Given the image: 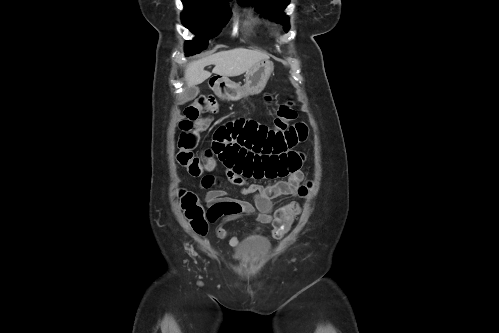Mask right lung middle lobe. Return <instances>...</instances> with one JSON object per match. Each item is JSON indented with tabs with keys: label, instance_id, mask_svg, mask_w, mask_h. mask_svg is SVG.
<instances>
[{
	"label": "right lung middle lobe",
	"instance_id": "obj_1",
	"mask_svg": "<svg viewBox=\"0 0 499 333\" xmlns=\"http://www.w3.org/2000/svg\"><path fill=\"white\" fill-rule=\"evenodd\" d=\"M229 1L182 0L185 6L182 23L197 35L194 40L187 41L186 56L201 52L206 48L208 39L221 32L232 14Z\"/></svg>",
	"mask_w": 499,
	"mask_h": 333
}]
</instances>
